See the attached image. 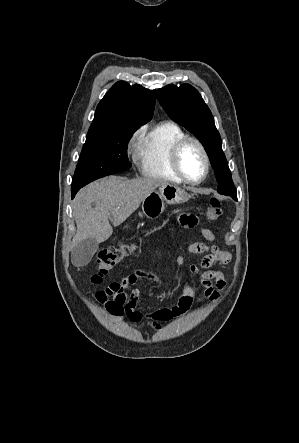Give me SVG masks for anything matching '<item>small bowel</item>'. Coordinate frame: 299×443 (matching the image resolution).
Listing matches in <instances>:
<instances>
[{
	"mask_svg": "<svg viewBox=\"0 0 299 443\" xmlns=\"http://www.w3.org/2000/svg\"><path fill=\"white\" fill-rule=\"evenodd\" d=\"M178 222L185 228L197 226V217L190 214L178 216ZM200 233L209 244L203 242H192L188 244L189 253L203 255L197 264H190L184 256H178L176 263L185 268L192 276L199 279L203 288V295L208 300H216L226 285L225 274L219 270L211 269L215 263L228 264L231 254L213 244L214 233L207 228H200ZM138 278H146L153 282L160 281V277L147 270H139L129 274L120 281L110 283L105 289L95 294L96 300L103 304L106 310L116 318L126 315L131 321L139 322L143 319H150L155 322L154 327L158 329V321L168 320L186 312L194 301V289L189 282L183 285V291L176 304L144 314L138 310L140 293L138 290H130Z\"/></svg>",
	"mask_w": 299,
	"mask_h": 443,
	"instance_id": "small-bowel-1",
	"label": "small bowel"
}]
</instances>
